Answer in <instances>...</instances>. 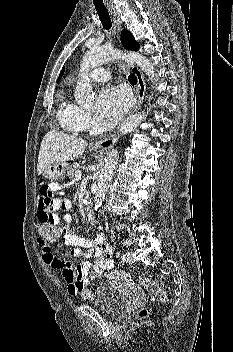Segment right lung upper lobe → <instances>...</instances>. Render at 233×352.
<instances>
[{"instance_id":"1","label":"right lung upper lobe","mask_w":233,"mask_h":352,"mask_svg":"<svg viewBox=\"0 0 233 352\" xmlns=\"http://www.w3.org/2000/svg\"><path fill=\"white\" fill-rule=\"evenodd\" d=\"M64 70H65V68L63 67V69H62V71H61V73H60V75H59L58 81H59V79L62 77V75H63V73H64Z\"/></svg>"}]
</instances>
